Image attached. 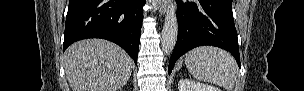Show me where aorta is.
Listing matches in <instances>:
<instances>
[{
    "instance_id": "aorta-1",
    "label": "aorta",
    "mask_w": 304,
    "mask_h": 91,
    "mask_svg": "<svg viewBox=\"0 0 304 91\" xmlns=\"http://www.w3.org/2000/svg\"><path fill=\"white\" fill-rule=\"evenodd\" d=\"M178 36V21L176 9L172 0L168 1L165 15V22L162 30V50L166 55H170L175 47Z\"/></svg>"
}]
</instances>
